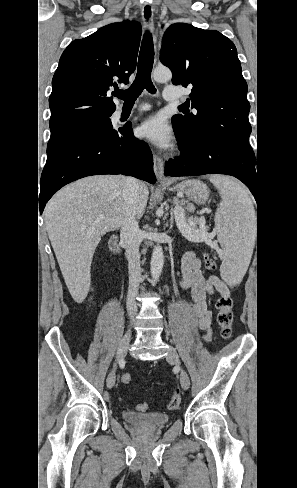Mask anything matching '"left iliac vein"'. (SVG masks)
Segmentation results:
<instances>
[{
  "label": "left iliac vein",
  "mask_w": 297,
  "mask_h": 488,
  "mask_svg": "<svg viewBox=\"0 0 297 488\" xmlns=\"http://www.w3.org/2000/svg\"><path fill=\"white\" fill-rule=\"evenodd\" d=\"M166 360L172 364L179 365V356L176 351V349L172 346H169L167 355H166ZM180 383L181 386L184 390H187L190 386V378L187 374V372L184 369H181L180 371Z\"/></svg>",
  "instance_id": "1"
}]
</instances>
